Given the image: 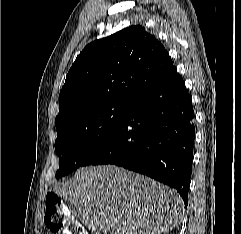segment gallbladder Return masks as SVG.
I'll return each instance as SVG.
<instances>
[{"label": "gallbladder", "instance_id": "obj_1", "mask_svg": "<svg viewBox=\"0 0 241 234\" xmlns=\"http://www.w3.org/2000/svg\"><path fill=\"white\" fill-rule=\"evenodd\" d=\"M72 212L84 223H88L87 220H84L83 215H82V211H79L78 213H76L75 209L72 208Z\"/></svg>", "mask_w": 241, "mask_h": 234}]
</instances>
